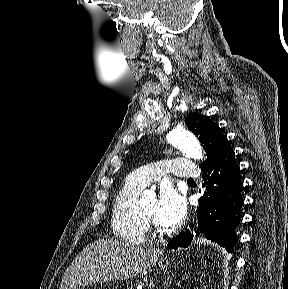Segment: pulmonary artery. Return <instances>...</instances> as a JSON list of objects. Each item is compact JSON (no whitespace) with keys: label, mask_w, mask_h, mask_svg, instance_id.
<instances>
[{"label":"pulmonary artery","mask_w":288,"mask_h":289,"mask_svg":"<svg viewBox=\"0 0 288 289\" xmlns=\"http://www.w3.org/2000/svg\"><path fill=\"white\" fill-rule=\"evenodd\" d=\"M171 174L180 178L199 177L200 171L190 160L180 158H167L162 161L142 166L127 177V181L145 188L158 180L162 175Z\"/></svg>","instance_id":"obj_1"}]
</instances>
